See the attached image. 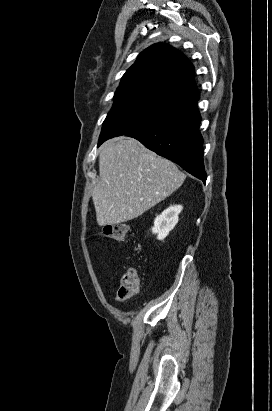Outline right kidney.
<instances>
[{
	"label": "right kidney",
	"mask_w": 272,
	"mask_h": 411,
	"mask_svg": "<svg viewBox=\"0 0 272 411\" xmlns=\"http://www.w3.org/2000/svg\"><path fill=\"white\" fill-rule=\"evenodd\" d=\"M182 209L181 205L170 206L155 218L152 232L157 234L158 240H163L175 227L179 220L178 215Z\"/></svg>",
	"instance_id": "obj_1"
}]
</instances>
